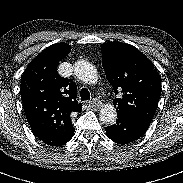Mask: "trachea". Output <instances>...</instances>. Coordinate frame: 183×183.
Instances as JSON below:
<instances>
[{"label":"trachea","mask_w":183,"mask_h":183,"mask_svg":"<svg viewBox=\"0 0 183 183\" xmlns=\"http://www.w3.org/2000/svg\"><path fill=\"white\" fill-rule=\"evenodd\" d=\"M80 96H81V101L90 99V93H89L88 89L82 88Z\"/></svg>","instance_id":"1"}]
</instances>
